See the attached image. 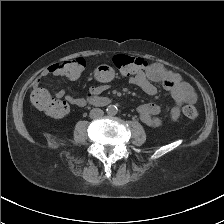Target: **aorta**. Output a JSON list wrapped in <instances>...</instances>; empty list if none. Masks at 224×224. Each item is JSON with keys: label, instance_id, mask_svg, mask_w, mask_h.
<instances>
[{"label": "aorta", "instance_id": "762f6f07", "mask_svg": "<svg viewBox=\"0 0 224 224\" xmlns=\"http://www.w3.org/2000/svg\"><path fill=\"white\" fill-rule=\"evenodd\" d=\"M107 114L110 116H114L118 113V107L116 105H109L107 107Z\"/></svg>", "mask_w": 224, "mask_h": 224}]
</instances>
